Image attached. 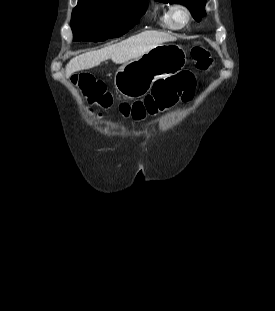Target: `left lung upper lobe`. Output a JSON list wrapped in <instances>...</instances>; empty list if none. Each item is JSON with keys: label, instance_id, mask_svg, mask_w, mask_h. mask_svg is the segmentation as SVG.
Listing matches in <instances>:
<instances>
[{"label": "left lung upper lobe", "instance_id": "5c2ea615", "mask_svg": "<svg viewBox=\"0 0 275 311\" xmlns=\"http://www.w3.org/2000/svg\"><path fill=\"white\" fill-rule=\"evenodd\" d=\"M162 3H171V4H183L185 5L190 12L192 13L193 18L196 21H200L202 16L205 14V3L206 0H157Z\"/></svg>", "mask_w": 275, "mask_h": 311}]
</instances>
